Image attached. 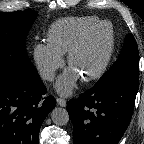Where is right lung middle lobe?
I'll return each instance as SVG.
<instances>
[{"instance_id": "dd1d6c3e", "label": "right lung middle lobe", "mask_w": 144, "mask_h": 144, "mask_svg": "<svg viewBox=\"0 0 144 144\" xmlns=\"http://www.w3.org/2000/svg\"><path fill=\"white\" fill-rule=\"evenodd\" d=\"M36 17L37 13L31 9L0 13V75L12 74L28 82L39 78L25 44Z\"/></svg>"}]
</instances>
